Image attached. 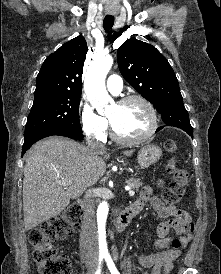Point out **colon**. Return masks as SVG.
Instances as JSON below:
<instances>
[{"label":"colon","mask_w":221,"mask_h":274,"mask_svg":"<svg viewBox=\"0 0 221 274\" xmlns=\"http://www.w3.org/2000/svg\"><path fill=\"white\" fill-rule=\"evenodd\" d=\"M168 155L166 169L172 176V182L163 188L162 198L167 204H175L184 196L188 183V173L178 165V149L175 141L164 142ZM82 215L81 206L73 203L60 215L42 223L29 233V242L33 246L32 256L40 274H71V263L64 255H59L54 242L70 236L79 225ZM187 227V231L191 230ZM181 240H172V247L178 249Z\"/></svg>","instance_id":"5ec220e1"}]
</instances>
